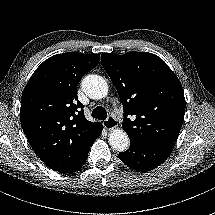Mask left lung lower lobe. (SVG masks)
I'll list each match as a JSON object with an SVG mask.
<instances>
[{
    "label": "left lung lower lobe",
    "mask_w": 215,
    "mask_h": 215,
    "mask_svg": "<svg viewBox=\"0 0 215 215\" xmlns=\"http://www.w3.org/2000/svg\"><path fill=\"white\" fill-rule=\"evenodd\" d=\"M175 143H143L130 140V148L119 158L136 171H150L162 164L171 154Z\"/></svg>",
    "instance_id": "0a47b994"
}]
</instances>
